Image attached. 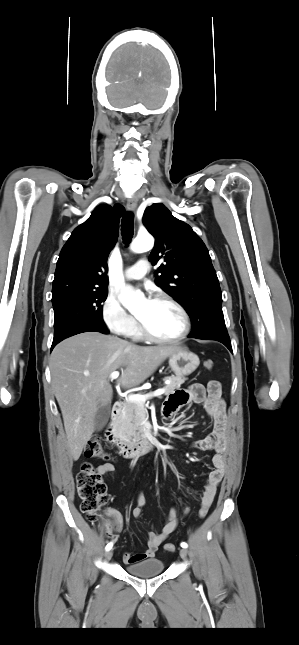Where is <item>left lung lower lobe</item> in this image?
<instances>
[{
    "mask_svg": "<svg viewBox=\"0 0 299 645\" xmlns=\"http://www.w3.org/2000/svg\"><path fill=\"white\" fill-rule=\"evenodd\" d=\"M189 338L217 340L223 343L232 352L231 342L225 324L217 326L203 336L193 337L192 335H189Z\"/></svg>",
    "mask_w": 299,
    "mask_h": 645,
    "instance_id": "left-lung-lower-lobe-1",
    "label": "left lung lower lobe"
}]
</instances>
